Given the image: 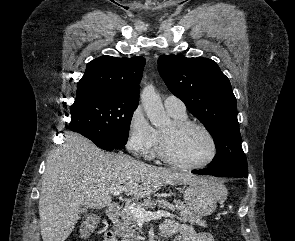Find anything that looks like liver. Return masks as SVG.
Here are the masks:
<instances>
[{
  "mask_svg": "<svg viewBox=\"0 0 295 241\" xmlns=\"http://www.w3.org/2000/svg\"><path fill=\"white\" fill-rule=\"evenodd\" d=\"M203 180L104 152L83 136L69 133L47 157L39 198L42 240L65 241L80 218V208L107 206L115 187L122 186L126 195L144 198L168 184Z\"/></svg>",
  "mask_w": 295,
  "mask_h": 241,
  "instance_id": "obj_1",
  "label": "liver"
}]
</instances>
